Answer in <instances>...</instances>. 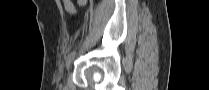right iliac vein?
Masks as SVG:
<instances>
[{
  "label": "right iliac vein",
  "instance_id": "obj_1",
  "mask_svg": "<svg viewBox=\"0 0 209 90\" xmlns=\"http://www.w3.org/2000/svg\"><path fill=\"white\" fill-rule=\"evenodd\" d=\"M72 63H73V58H71L70 60H67L66 66L70 67Z\"/></svg>",
  "mask_w": 209,
  "mask_h": 90
}]
</instances>
